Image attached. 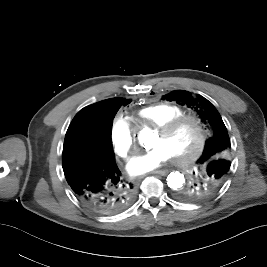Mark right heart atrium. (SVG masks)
<instances>
[{
	"mask_svg": "<svg viewBox=\"0 0 267 267\" xmlns=\"http://www.w3.org/2000/svg\"><path fill=\"white\" fill-rule=\"evenodd\" d=\"M111 143L119 158H128L135 143V132L130 121L116 115L112 122Z\"/></svg>",
	"mask_w": 267,
	"mask_h": 267,
	"instance_id": "obj_1",
	"label": "right heart atrium"
}]
</instances>
